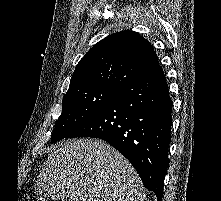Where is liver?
<instances>
[{
    "instance_id": "1",
    "label": "liver",
    "mask_w": 221,
    "mask_h": 201,
    "mask_svg": "<svg viewBox=\"0 0 221 201\" xmlns=\"http://www.w3.org/2000/svg\"><path fill=\"white\" fill-rule=\"evenodd\" d=\"M36 191L54 201H144L135 169L99 139H73L53 147L38 176Z\"/></svg>"
}]
</instances>
